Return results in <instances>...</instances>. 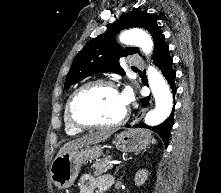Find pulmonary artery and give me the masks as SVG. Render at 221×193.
Instances as JSON below:
<instances>
[{"label": "pulmonary artery", "mask_w": 221, "mask_h": 193, "mask_svg": "<svg viewBox=\"0 0 221 193\" xmlns=\"http://www.w3.org/2000/svg\"><path fill=\"white\" fill-rule=\"evenodd\" d=\"M130 64L132 65H141L142 64V60L140 59V57L138 55H132L131 59H130Z\"/></svg>", "instance_id": "e3ab8cb5"}]
</instances>
